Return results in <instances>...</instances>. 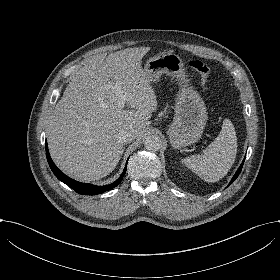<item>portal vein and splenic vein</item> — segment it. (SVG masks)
I'll use <instances>...</instances> for the list:
<instances>
[{
    "label": "portal vein and splenic vein",
    "instance_id": "1",
    "mask_svg": "<svg viewBox=\"0 0 280 280\" xmlns=\"http://www.w3.org/2000/svg\"><path fill=\"white\" fill-rule=\"evenodd\" d=\"M124 104H125V103L122 101V105H123V106H124Z\"/></svg>",
    "mask_w": 280,
    "mask_h": 280
}]
</instances>
